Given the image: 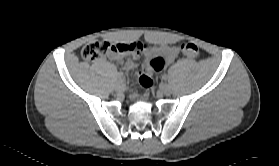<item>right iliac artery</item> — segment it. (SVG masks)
I'll use <instances>...</instances> for the list:
<instances>
[{"label": "right iliac artery", "instance_id": "right-iliac-artery-1", "mask_svg": "<svg viewBox=\"0 0 279 166\" xmlns=\"http://www.w3.org/2000/svg\"><path fill=\"white\" fill-rule=\"evenodd\" d=\"M117 77H118L119 80H123V79H124V74H123V72H119V73L117 74Z\"/></svg>", "mask_w": 279, "mask_h": 166}]
</instances>
